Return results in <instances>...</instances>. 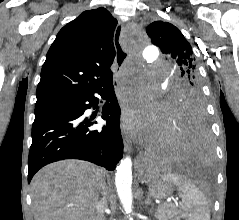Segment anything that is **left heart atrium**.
Here are the masks:
<instances>
[{
	"label": "left heart atrium",
	"mask_w": 239,
	"mask_h": 220,
	"mask_svg": "<svg viewBox=\"0 0 239 220\" xmlns=\"http://www.w3.org/2000/svg\"><path fill=\"white\" fill-rule=\"evenodd\" d=\"M146 109H150V106L146 104L145 106ZM128 123L132 128H135L136 130H141L147 126L150 125V122L152 119H142L138 114H136L135 111H130L128 114Z\"/></svg>",
	"instance_id": "39dd6f15"
}]
</instances>
